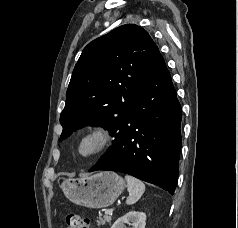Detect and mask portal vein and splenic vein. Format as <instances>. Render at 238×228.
Wrapping results in <instances>:
<instances>
[{
  "mask_svg": "<svg viewBox=\"0 0 238 228\" xmlns=\"http://www.w3.org/2000/svg\"><path fill=\"white\" fill-rule=\"evenodd\" d=\"M105 213H106V214H109V215H112L113 209L111 208V209L107 210Z\"/></svg>",
  "mask_w": 238,
  "mask_h": 228,
  "instance_id": "1",
  "label": "portal vein and splenic vein"
}]
</instances>
